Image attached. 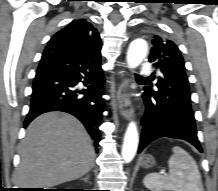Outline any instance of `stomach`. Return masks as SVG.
<instances>
[{
	"label": "stomach",
	"mask_w": 218,
	"mask_h": 191,
	"mask_svg": "<svg viewBox=\"0 0 218 191\" xmlns=\"http://www.w3.org/2000/svg\"><path fill=\"white\" fill-rule=\"evenodd\" d=\"M140 163L143 168H151L155 164V159L152 155H146L141 159Z\"/></svg>",
	"instance_id": "stomach-1"
}]
</instances>
